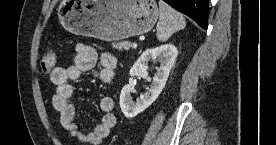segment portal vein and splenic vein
I'll use <instances>...</instances> for the list:
<instances>
[{"instance_id": "portal-vein-and-splenic-vein-1", "label": "portal vein and splenic vein", "mask_w": 276, "mask_h": 145, "mask_svg": "<svg viewBox=\"0 0 276 145\" xmlns=\"http://www.w3.org/2000/svg\"><path fill=\"white\" fill-rule=\"evenodd\" d=\"M137 46H138L137 43H132V44H131V47H132L133 49H136Z\"/></svg>"}]
</instances>
